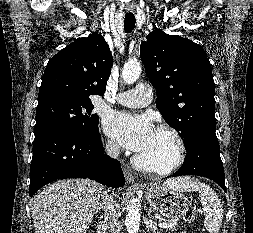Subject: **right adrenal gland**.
Segmentation results:
<instances>
[{
    "label": "right adrenal gland",
    "mask_w": 253,
    "mask_h": 233,
    "mask_svg": "<svg viewBox=\"0 0 253 233\" xmlns=\"http://www.w3.org/2000/svg\"><path fill=\"white\" fill-rule=\"evenodd\" d=\"M103 209H104L103 203H99L98 206L95 209V214H97L98 212H100Z\"/></svg>",
    "instance_id": "1"
}]
</instances>
